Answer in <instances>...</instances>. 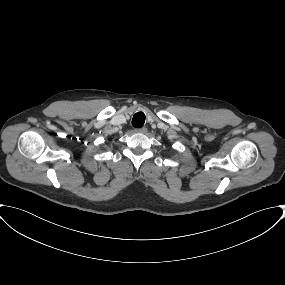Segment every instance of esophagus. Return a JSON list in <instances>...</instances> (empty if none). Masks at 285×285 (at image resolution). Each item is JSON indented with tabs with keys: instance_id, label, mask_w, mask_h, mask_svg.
I'll return each instance as SVG.
<instances>
[{
	"instance_id": "1",
	"label": "esophagus",
	"mask_w": 285,
	"mask_h": 285,
	"mask_svg": "<svg viewBox=\"0 0 285 285\" xmlns=\"http://www.w3.org/2000/svg\"><path fill=\"white\" fill-rule=\"evenodd\" d=\"M135 132H137V133H146L147 132V128L146 127L137 128V129H135Z\"/></svg>"
}]
</instances>
